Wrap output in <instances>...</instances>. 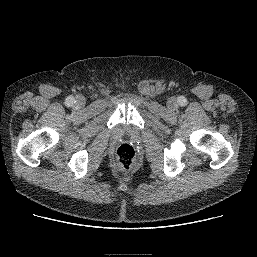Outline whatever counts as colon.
Returning a JSON list of instances; mask_svg holds the SVG:
<instances>
[{"label":"colon","instance_id":"5ec220e1","mask_svg":"<svg viewBox=\"0 0 257 257\" xmlns=\"http://www.w3.org/2000/svg\"><path fill=\"white\" fill-rule=\"evenodd\" d=\"M136 152L132 145L123 143L116 151V166L120 171H128L134 164Z\"/></svg>","mask_w":257,"mask_h":257}]
</instances>
